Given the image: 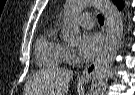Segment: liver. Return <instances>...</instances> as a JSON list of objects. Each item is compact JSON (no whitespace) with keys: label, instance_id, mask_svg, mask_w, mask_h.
Instances as JSON below:
<instances>
[{"label":"liver","instance_id":"liver-1","mask_svg":"<svg viewBox=\"0 0 135 95\" xmlns=\"http://www.w3.org/2000/svg\"><path fill=\"white\" fill-rule=\"evenodd\" d=\"M72 77L73 72L63 68L42 70L25 84V95H66Z\"/></svg>","mask_w":135,"mask_h":95}]
</instances>
